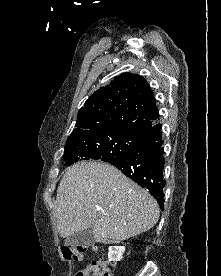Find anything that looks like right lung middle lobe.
<instances>
[{
  "mask_svg": "<svg viewBox=\"0 0 221 276\" xmlns=\"http://www.w3.org/2000/svg\"><path fill=\"white\" fill-rule=\"evenodd\" d=\"M142 138L122 132H112L88 138L67 141L63 160L72 165L81 160L100 159L109 162L127 155L139 145Z\"/></svg>",
  "mask_w": 221,
  "mask_h": 276,
  "instance_id": "obj_1",
  "label": "right lung middle lobe"
}]
</instances>
